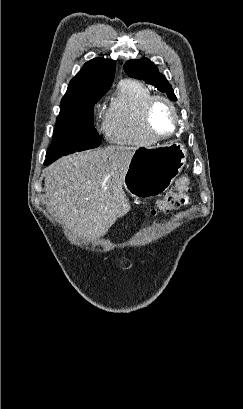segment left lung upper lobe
Returning <instances> with one entry per match:
<instances>
[{"mask_svg": "<svg viewBox=\"0 0 243 409\" xmlns=\"http://www.w3.org/2000/svg\"><path fill=\"white\" fill-rule=\"evenodd\" d=\"M123 68L130 77L142 79L146 83L154 85L160 91L165 92L169 98L177 100L172 86L168 83L165 76L159 73L157 66L149 59L129 60L124 64Z\"/></svg>", "mask_w": 243, "mask_h": 409, "instance_id": "left-lung-upper-lobe-1", "label": "left lung upper lobe"}]
</instances>
